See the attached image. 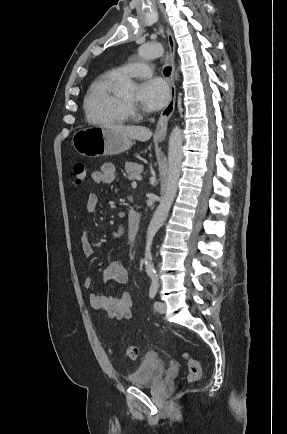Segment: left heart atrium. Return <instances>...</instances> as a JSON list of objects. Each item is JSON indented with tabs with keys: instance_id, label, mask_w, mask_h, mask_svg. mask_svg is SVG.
Returning <instances> with one entry per match:
<instances>
[{
	"instance_id": "left-heart-atrium-1",
	"label": "left heart atrium",
	"mask_w": 287,
	"mask_h": 434,
	"mask_svg": "<svg viewBox=\"0 0 287 434\" xmlns=\"http://www.w3.org/2000/svg\"><path fill=\"white\" fill-rule=\"evenodd\" d=\"M167 84L159 78L146 81L140 85L138 99L148 111L162 108L169 100Z\"/></svg>"
}]
</instances>
